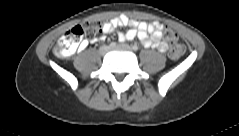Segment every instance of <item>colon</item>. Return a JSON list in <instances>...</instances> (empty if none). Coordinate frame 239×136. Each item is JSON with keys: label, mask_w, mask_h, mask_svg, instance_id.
<instances>
[{"label": "colon", "mask_w": 239, "mask_h": 136, "mask_svg": "<svg viewBox=\"0 0 239 136\" xmlns=\"http://www.w3.org/2000/svg\"><path fill=\"white\" fill-rule=\"evenodd\" d=\"M100 29L101 22L98 20H89L81 25L73 27L60 37L55 49L56 54L59 57L70 55L78 49L84 35L94 37L99 33ZM164 35L171 43L169 57L172 60L180 59L185 52V47L182 44L177 43V34L173 30L165 28Z\"/></svg>", "instance_id": "colon-1"}]
</instances>
